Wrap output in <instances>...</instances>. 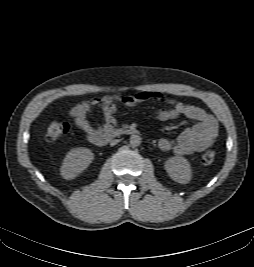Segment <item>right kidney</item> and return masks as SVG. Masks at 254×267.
<instances>
[{"instance_id":"ca27d5eb","label":"right kidney","mask_w":254,"mask_h":267,"mask_svg":"<svg viewBox=\"0 0 254 267\" xmlns=\"http://www.w3.org/2000/svg\"><path fill=\"white\" fill-rule=\"evenodd\" d=\"M94 154L87 148H74L70 150L63 160L60 168L64 179H74L81 174L93 161Z\"/></svg>"}]
</instances>
